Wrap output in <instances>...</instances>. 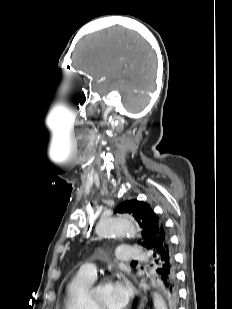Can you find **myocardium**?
I'll list each match as a JSON object with an SVG mask.
<instances>
[{"mask_svg": "<svg viewBox=\"0 0 232 309\" xmlns=\"http://www.w3.org/2000/svg\"><path fill=\"white\" fill-rule=\"evenodd\" d=\"M111 282H112L111 277H109V276H104V277H102V278L99 280L98 286H97V287H99V286H101V285H103V284L111 283ZM97 287L92 288V289H91V292H90V297H91L92 305H93L94 309H105V308L100 304V302H99L98 299H97V296H96V289H97Z\"/></svg>", "mask_w": 232, "mask_h": 309, "instance_id": "1", "label": "myocardium"}]
</instances>
